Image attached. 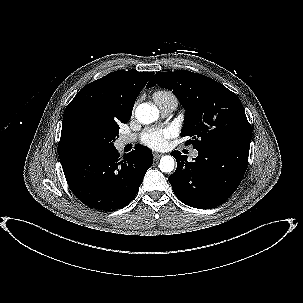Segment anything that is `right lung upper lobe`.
Wrapping results in <instances>:
<instances>
[{"label": "right lung upper lobe", "mask_w": 303, "mask_h": 303, "mask_svg": "<svg viewBox=\"0 0 303 303\" xmlns=\"http://www.w3.org/2000/svg\"><path fill=\"white\" fill-rule=\"evenodd\" d=\"M154 72L115 71L83 87L67 106L58 151L61 164L84 157L73 141L75 123L91 118L105 127L127 123L137 96Z\"/></svg>", "instance_id": "obj_1"}]
</instances>
